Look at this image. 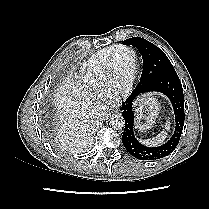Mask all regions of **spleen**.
<instances>
[{"mask_svg": "<svg viewBox=\"0 0 209 209\" xmlns=\"http://www.w3.org/2000/svg\"><path fill=\"white\" fill-rule=\"evenodd\" d=\"M170 124L171 122L170 121H167L166 124H165V128L167 130L170 129ZM167 137V133L165 131H162L160 134H158L156 137L152 138V139H148V140H145L144 143L147 144V145H158L160 143H162Z\"/></svg>", "mask_w": 209, "mask_h": 209, "instance_id": "1", "label": "spleen"}]
</instances>
